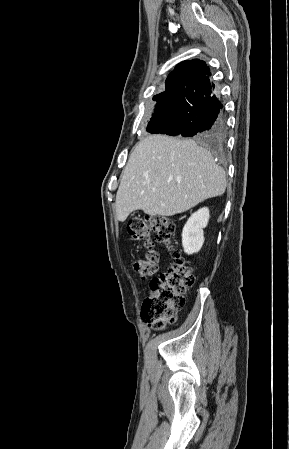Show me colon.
Returning a JSON list of instances; mask_svg holds the SVG:
<instances>
[{
	"label": "colon",
	"mask_w": 289,
	"mask_h": 449,
	"mask_svg": "<svg viewBox=\"0 0 289 449\" xmlns=\"http://www.w3.org/2000/svg\"><path fill=\"white\" fill-rule=\"evenodd\" d=\"M176 225L164 216H145L133 218L128 222L127 230L133 240L141 241L146 249L142 257L133 263L134 270L144 280H150V293L142 305V316L148 324L162 330L175 321L177 312L185 305L187 290L194 283L190 263L173 245ZM169 247L173 261L166 272L156 278L158 254L150 242V233Z\"/></svg>",
	"instance_id": "colon-1"
}]
</instances>
